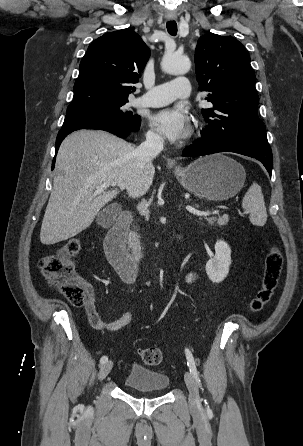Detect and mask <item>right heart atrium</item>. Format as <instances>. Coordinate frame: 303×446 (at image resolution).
I'll use <instances>...</instances> for the list:
<instances>
[{
	"instance_id": "1",
	"label": "right heart atrium",
	"mask_w": 303,
	"mask_h": 446,
	"mask_svg": "<svg viewBox=\"0 0 303 446\" xmlns=\"http://www.w3.org/2000/svg\"><path fill=\"white\" fill-rule=\"evenodd\" d=\"M147 139L151 143H159V142H161V136L156 131H154L153 129H150L147 132Z\"/></svg>"
}]
</instances>
